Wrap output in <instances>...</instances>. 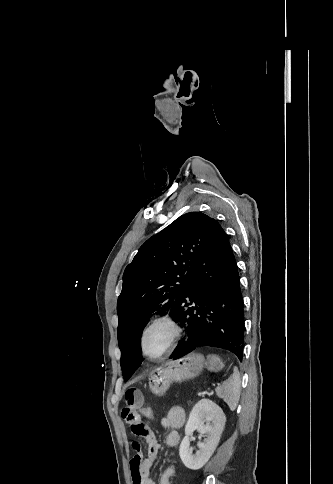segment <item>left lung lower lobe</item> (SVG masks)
<instances>
[{
	"mask_svg": "<svg viewBox=\"0 0 333 484\" xmlns=\"http://www.w3.org/2000/svg\"><path fill=\"white\" fill-rule=\"evenodd\" d=\"M183 285L187 291L175 301L170 315L187 323L188 335L170 359L211 346L229 350L242 361L244 303L239 274L229 239L216 220L193 257Z\"/></svg>",
	"mask_w": 333,
	"mask_h": 484,
	"instance_id": "0a47b994",
	"label": "left lung lower lobe"
}]
</instances>
